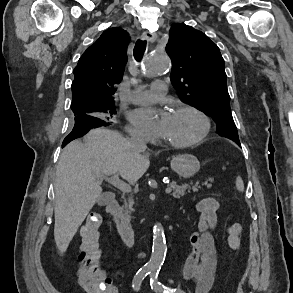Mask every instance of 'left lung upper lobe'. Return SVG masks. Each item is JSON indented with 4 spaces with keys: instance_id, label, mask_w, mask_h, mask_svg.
Segmentation results:
<instances>
[{
    "instance_id": "5c2ea615",
    "label": "left lung upper lobe",
    "mask_w": 293,
    "mask_h": 293,
    "mask_svg": "<svg viewBox=\"0 0 293 293\" xmlns=\"http://www.w3.org/2000/svg\"><path fill=\"white\" fill-rule=\"evenodd\" d=\"M166 51L172 60L171 82L180 100L205 110L216 122L219 135L239 143L218 46L201 31L176 23L171 26Z\"/></svg>"
}]
</instances>
